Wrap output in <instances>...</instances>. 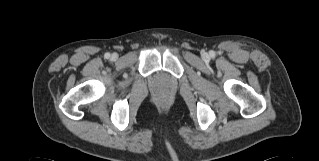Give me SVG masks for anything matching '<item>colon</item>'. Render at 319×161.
<instances>
[{"mask_svg":"<svg viewBox=\"0 0 319 161\" xmlns=\"http://www.w3.org/2000/svg\"><path fill=\"white\" fill-rule=\"evenodd\" d=\"M164 97H165L164 95H160V96H159V100H160V101H163Z\"/></svg>","mask_w":319,"mask_h":161,"instance_id":"colon-1","label":"colon"}]
</instances>
